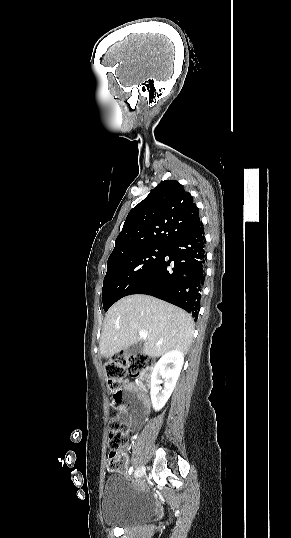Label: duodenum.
<instances>
[{
	"label": "duodenum",
	"instance_id": "1",
	"mask_svg": "<svg viewBox=\"0 0 291 538\" xmlns=\"http://www.w3.org/2000/svg\"><path fill=\"white\" fill-rule=\"evenodd\" d=\"M141 386L143 388H150L152 386V379L150 377H147V375H142Z\"/></svg>",
	"mask_w": 291,
	"mask_h": 538
}]
</instances>
